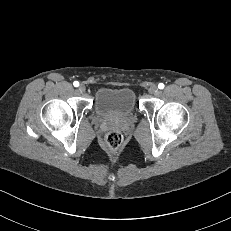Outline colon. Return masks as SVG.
<instances>
[{
    "label": "colon",
    "mask_w": 231,
    "mask_h": 231,
    "mask_svg": "<svg viewBox=\"0 0 231 231\" xmlns=\"http://www.w3.org/2000/svg\"><path fill=\"white\" fill-rule=\"evenodd\" d=\"M123 142V136L118 131H110L105 136V145L110 150H116L118 149Z\"/></svg>",
    "instance_id": "5ec220e1"
}]
</instances>
